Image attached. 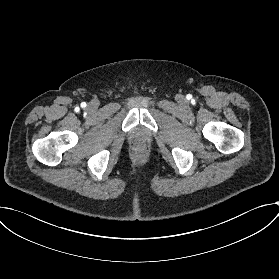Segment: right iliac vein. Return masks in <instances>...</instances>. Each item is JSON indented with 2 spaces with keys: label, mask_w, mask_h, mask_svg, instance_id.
Instances as JSON below:
<instances>
[{
  "label": "right iliac vein",
  "mask_w": 279,
  "mask_h": 279,
  "mask_svg": "<svg viewBox=\"0 0 279 279\" xmlns=\"http://www.w3.org/2000/svg\"><path fill=\"white\" fill-rule=\"evenodd\" d=\"M96 106H97L96 102H91L87 106V110H89V111L95 110Z\"/></svg>",
  "instance_id": "obj_1"
}]
</instances>
